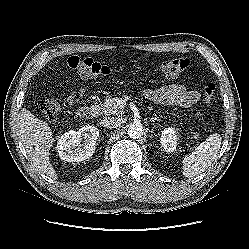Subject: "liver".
Returning a JSON list of instances; mask_svg holds the SVG:
<instances>
[{
	"label": "liver",
	"mask_w": 249,
	"mask_h": 249,
	"mask_svg": "<svg viewBox=\"0 0 249 249\" xmlns=\"http://www.w3.org/2000/svg\"><path fill=\"white\" fill-rule=\"evenodd\" d=\"M18 128L29 157L39 171L56 179V172L49 161V151L54 142L51 128L26 109L20 113Z\"/></svg>",
	"instance_id": "liver-1"
}]
</instances>
